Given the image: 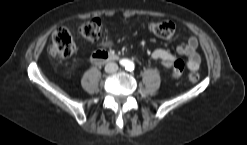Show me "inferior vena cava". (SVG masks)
<instances>
[{
	"label": "inferior vena cava",
	"instance_id": "obj_1",
	"mask_svg": "<svg viewBox=\"0 0 247 145\" xmlns=\"http://www.w3.org/2000/svg\"><path fill=\"white\" fill-rule=\"evenodd\" d=\"M118 70V65L114 62H109L105 66V71L107 73H115Z\"/></svg>",
	"mask_w": 247,
	"mask_h": 145
}]
</instances>
